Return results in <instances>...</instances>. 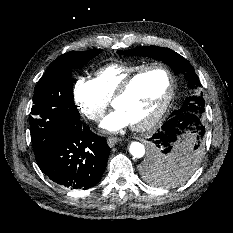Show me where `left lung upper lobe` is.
I'll use <instances>...</instances> for the list:
<instances>
[{
	"label": "left lung upper lobe",
	"mask_w": 233,
	"mask_h": 233,
	"mask_svg": "<svg viewBox=\"0 0 233 233\" xmlns=\"http://www.w3.org/2000/svg\"><path fill=\"white\" fill-rule=\"evenodd\" d=\"M118 54L126 56H147L158 59L169 65L175 74L179 72L184 73L188 81V95L182 107L179 110L173 111L169 119L178 120V122L185 125L201 123L205 106V101L199 92L201 83L195 74L193 66L184 57L169 48L157 46L138 47L127 51H118ZM166 162L171 164L170 160ZM195 162L194 160L186 162L185 171L187 170V173L192 169Z\"/></svg>",
	"instance_id": "left-lung-upper-lobe-1"
}]
</instances>
